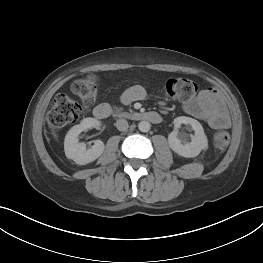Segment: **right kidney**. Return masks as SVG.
I'll return each instance as SVG.
<instances>
[{"label": "right kidney", "instance_id": "1", "mask_svg": "<svg viewBox=\"0 0 263 263\" xmlns=\"http://www.w3.org/2000/svg\"><path fill=\"white\" fill-rule=\"evenodd\" d=\"M99 125L100 122L98 120L89 117L85 118L80 124L73 126L64 140L66 157L79 165H85L96 160L104 151V143L101 140H96L91 148L86 149L84 143L78 142V136L82 131Z\"/></svg>", "mask_w": 263, "mask_h": 263}]
</instances>
